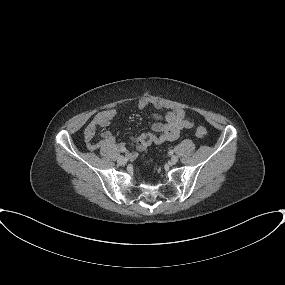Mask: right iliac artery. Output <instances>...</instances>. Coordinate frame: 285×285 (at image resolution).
I'll use <instances>...</instances> for the list:
<instances>
[{
	"mask_svg": "<svg viewBox=\"0 0 285 285\" xmlns=\"http://www.w3.org/2000/svg\"><path fill=\"white\" fill-rule=\"evenodd\" d=\"M125 151H126V149H122V150H121V152H125Z\"/></svg>",
	"mask_w": 285,
	"mask_h": 285,
	"instance_id": "82829eb1",
	"label": "right iliac artery"
}]
</instances>
